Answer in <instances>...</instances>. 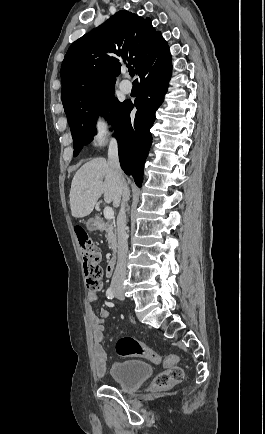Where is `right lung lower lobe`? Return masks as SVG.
<instances>
[{
  "instance_id": "obj_1",
  "label": "right lung lower lobe",
  "mask_w": 265,
  "mask_h": 434,
  "mask_svg": "<svg viewBox=\"0 0 265 434\" xmlns=\"http://www.w3.org/2000/svg\"><path fill=\"white\" fill-rule=\"evenodd\" d=\"M171 71L169 51L144 63L139 74L140 93L134 104L130 102L128 105L115 132L121 167L126 174L133 176L138 186H141L143 164L152 141L149 130L155 120V111L163 102ZM134 107L137 108V113L131 124L129 115Z\"/></svg>"
}]
</instances>
